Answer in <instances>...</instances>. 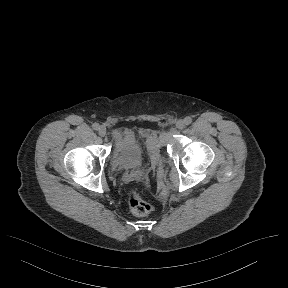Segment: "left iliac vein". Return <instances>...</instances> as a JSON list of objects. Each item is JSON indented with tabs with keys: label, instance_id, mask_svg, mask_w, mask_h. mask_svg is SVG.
Wrapping results in <instances>:
<instances>
[{
	"label": "left iliac vein",
	"instance_id": "left-iliac-vein-1",
	"mask_svg": "<svg viewBox=\"0 0 288 288\" xmlns=\"http://www.w3.org/2000/svg\"><path fill=\"white\" fill-rule=\"evenodd\" d=\"M185 127V122L183 120H178L176 122V128L183 129Z\"/></svg>",
	"mask_w": 288,
	"mask_h": 288
}]
</instances>
